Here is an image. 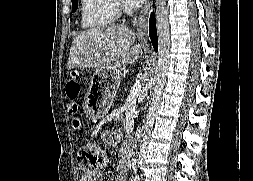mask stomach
I'll return each mask as SVG.
<instances>
[{
    "label": "stomach",
    "instance_id": "obj_1",
    "mask_svg": "<svg viewBox=\"0 0 253 181\" xmlns=\"http://www.w3.org/2000/svg\"><path fill=\"white\" fill-rule=\"evenodd\" d=\"M122 77L121 68L97 69L95 71L88 88V97L84 107L89 119H100L108 113Z\"/></svg>",
    "mask_w": 253,
    "mask_h": 181
}]
</instances>
